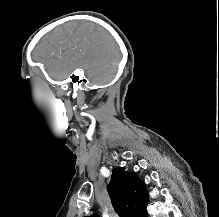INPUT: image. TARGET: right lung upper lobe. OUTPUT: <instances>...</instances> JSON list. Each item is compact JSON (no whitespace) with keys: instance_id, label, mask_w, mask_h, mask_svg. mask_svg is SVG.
Returning a JSON list of instances; mask_svg holds the SVG:
<instances>
[{"instance_id":"obj_1","label":"right lung upper lobe","mask_w":219,"mask_h":217,"mask_svg":"<svg viewBox=\"0 0 219 217\" xmlns=\"http://www.w3.org/2000/svg\"><path fill=\"white\" fill-rule=\"evenodd\" d=\"M112 205L120 217H147L148 193L135 172L114 168L107 186ZM89 217H99L92 214Z\"/></svg>"}]
</instances>
